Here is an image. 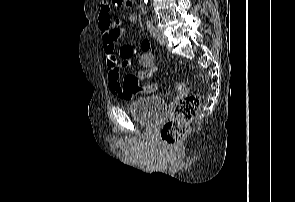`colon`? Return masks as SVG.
Segmentation results:
<instances>
[{
    "mask_svg": "<svg viewBox=\"0 0 295 202\" xmlns=\"http://www.w3.org/2000/svg\"><path fill=\"white\" fill-rule=\"evenodd\" d=\"M112 3L116 6L131 7L133 0H112ZM156 64L154 52H140L138 65L145 70H136V75L154 76L157 68L153 65ZM122 87L125 90H159L156 82H143V79H136L131 74L125 76ZM174 87L177 92L184 91V85L181 82H176ZM178 102L179 107L174 108L173 117L163 124L160 132L161 140L169 146H176L186 136L190 123L197 115L201 97L199 94H191L189 98H182Z\"/></svg>",
    "mask_w": 295,
    "mask_h": 202,
    "instance_id": "obj_1",
    "label": "colon"
}]
</instances>
